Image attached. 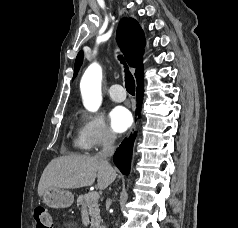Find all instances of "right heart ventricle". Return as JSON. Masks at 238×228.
<instances>
[{
  "label": "right heart ventricle",
  "mask_w": 238,
  "mask_h": 228,
  "mask_svg": "<svg viewBox=\"0 0 238 228\" xmlns=\"http://www.w3.org/2000/svg\"><path fill=\"white\" fill-rule=\"evenodd\" d=\"M75 145H76L78 148L84 149V147H83V145H82L81 140H80L79 137L75 140Z\"/></svg>",
  "instance_id": "obj_1"
}]
</instances>
